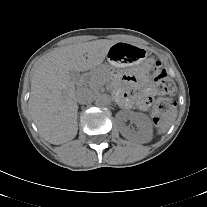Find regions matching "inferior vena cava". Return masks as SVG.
Listing matches in <instances>:
<instances>
[{
  "mask_svg": "<svg viewBox=\"0 0 207 207\" xmlns=\"http://www.w3.org/2000/svg\"><path fill=\"white\" fill-rule=\"evenodd\" d=\"M94 94L88 88H80L76 93V102L79 104H86L93 100Z\"/></svg>",
  "mask_w": 207,
  "mask_h": 207,
  "instance_id": "inferior-vena-cava-1",
  "label": "inferior vena cava"
}]
</instances>
